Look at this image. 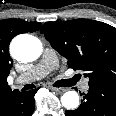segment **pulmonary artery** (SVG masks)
I'll use <instances>...</instances> for the list:
<instances>
[{"mask_svg": "<svg viewBox=\"0 0 116 116\" xmlns=\"http://www.w3.org/2000/svg\"><path fill=\"white\" fill-rule=\"evenodd\" d=\"M58 67V59L51 48H46L43 53V57L39 63L31 67L28 71L20 74L15 79V85H22L28 82L42 79L48 75L51 71ZM81 88L87 92L90 88L89 79L84 78L81 82Z\"/></svg>", "mask_w": 116, "mask_h": 116, "instance_id": "e3ab8cb5", "label": "pulmonary artery"}]
</instances>
